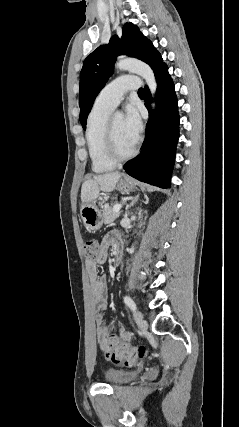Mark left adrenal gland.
Returning <instances> with one entry per match:
<instances>
[{
  "label": "left adrenal gland",
  "mask_w": 239,
  "mask_h": 427,
  "mask_svg": "<svg viewBox=\"0 0 239 427\" xmlns=\"http://www.w3.org/2000/svg\"><path fill=\"white\" fill-rule=\"evenodd\" d=\"M138 197H139V196H136V197L132 200V202L130 203V205H129L127 208H130L131 206H133V205L137 202Z\"/></svg>",
  "instance_id": "left-adrenal-gland-1"
}]
</instances>
